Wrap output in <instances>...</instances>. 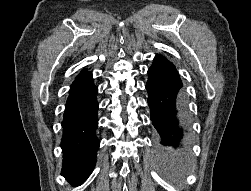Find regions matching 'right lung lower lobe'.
<instances>
[{"instance_id": "right-lung-lower-lobe-1", "label": "right lung lower lobe", "mask_w": 251, "mask_h": 191, "mask_svg": "<svg viewBox=\"0 0 251 191\" xmlns=\"http://www.w3.org/2000/svg\"><path fill=\"white\" fill-rule=\"evenodd\" d=\"M98 88L92 73L73 81L63 116V168L61 174L72 184L83 183L93 171L99 140L97 101Z\"/></svg>"}]
</instances>
